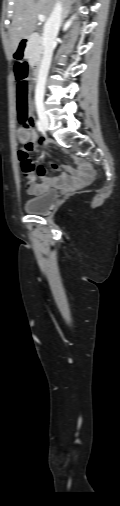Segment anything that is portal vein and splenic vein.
<instances>
[{
  "mask_svg": "<svg viewBox=\"0 0 120 506\" xmlns=\"http://www.w3.org/2000/svg\"><path fill=\"white\" fill-rule=\"evenodd\" d=\"M37 16H38V20L40 22H44L46 20V17L44 15H42V14H38Z\"/></svg>",
  "mask_w": 120,
  "mask_h": 506,
  "instance_id": "1",
  "label": "portal vein and splenic vein"
}]
</instances>
